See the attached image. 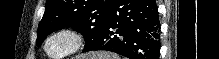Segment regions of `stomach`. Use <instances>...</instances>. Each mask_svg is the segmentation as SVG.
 I'll return each instance as SVG.
<instances>
[{"label": "stomach", "mask_w": 219, "mask_h": 59, "mask_svg": "<svg viewBox=\"0 0 219 59\" xmlns=\"http://www.w3.org/2000/svg\"><path fill=\"white\" fill-rule=\"evenodd\" d=\"M90 57H92L93 59H105L106 57H109V56H103L102 54H92L90 55ZM104 57V58H103ZM108 59V58H106Z\"/></svg>", "instance_id": "stomach-1"}]
</instances>
